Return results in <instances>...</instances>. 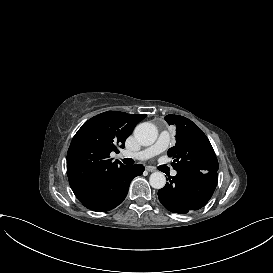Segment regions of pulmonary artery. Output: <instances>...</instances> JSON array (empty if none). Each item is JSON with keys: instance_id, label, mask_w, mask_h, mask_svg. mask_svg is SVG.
<instances>
[{"instance_id": "obj_1", "label": "pulmonary artery", "mask_w": 273, "mask_h": 273, "mask_svg": "<svg viewBox=\"0 0 273 273\" xmlns=\"http://www.w3.org/2000/svg\"><path fill=\"white\" fill-rule=\"evenodd\" d=\"M171 139L172 136L170 133L168 132L163 133L157 144L150 147L149 149L137 151L135 154L136 159L139 161H143L156 157L157 155L163 153L168 149ZM176 174H177L176 170L171 171L172 176H175Z\"/></svg>"}]
</instances>
